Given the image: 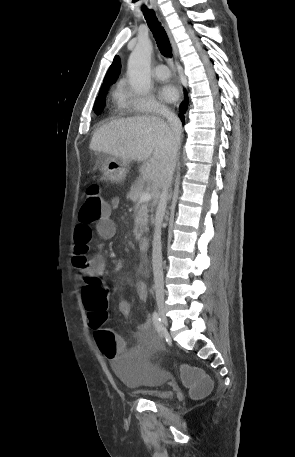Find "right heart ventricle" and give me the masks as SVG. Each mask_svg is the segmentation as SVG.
I'll use <instances>...</instances> for the list:
<instances>
[{
  "instance_id": "e07e8e85",
  "label": "right heart ventricle",
  "mask_w": 295,
  "mask_h": 457,
  "mask_svg": "<svg viewBox=\"0 0 295 457\" xmlns=\"http://www.w3.org/2000/svg\"><path fill=\"white\" fill-rule=\"evenodd\" d=\"M113 103L120 112H125L129 109L127 104V94L122 86H118L113 92Z\"/></svg>"
}]
</instances>
